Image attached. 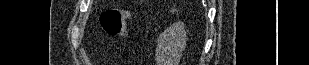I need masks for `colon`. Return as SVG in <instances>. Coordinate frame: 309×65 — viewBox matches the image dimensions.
I'll return each instance as SVG.
<instances>
[{
    "instance_id": "5ec220e1",
    "label": "colon",
    "mask_w": 309,
    "mask_h": 65,
    "mask_svg": "<svg viewBox=\"0 0 309 65\" xmlns=\"http://www.w3.org/2000/svg\"><path fill=\"white\" fill-rule=\"evenodd\" d=\"M132 14L129 11L111 8L100 16L101 27L111 36H122L126 32V25Z\"/></svg>"
}]
</instances>
